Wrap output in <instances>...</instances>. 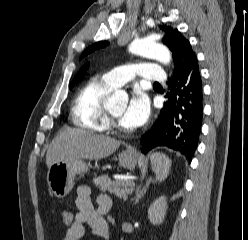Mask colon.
<instances>
[{"instance_id":"colon-1","label":"colon","mask_w":248,"mask_h":240,"mask_svg":"<svg viewBox=\"0 0 248 240\" xmlns=\"http://www.w3.org/2000/svg\"><path fill=\"white\" fill-rule=\"evenodd\" d=\"M74 218V213L70 209H65L61 212L62 223L67 227L69 226Z\"/></svg>"}]
</instances>
